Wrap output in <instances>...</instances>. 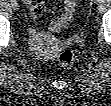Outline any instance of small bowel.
<instances>
[{
	"mask_svg": "<svg viewBox=\"0 0 111 106\" xmlns=\"http://www.w3.org/2000/svg\"><path fill=\"white\" fill-rule=\"evenodd\" d=\"M26 4L34 15H41L44 11V4L41 0H27Z\"/></svg>",
	"mask_w": 111,
	"mask_h": 106,
	"instance_id": "1",
	"label": "small bowel"
}]
</instances>
